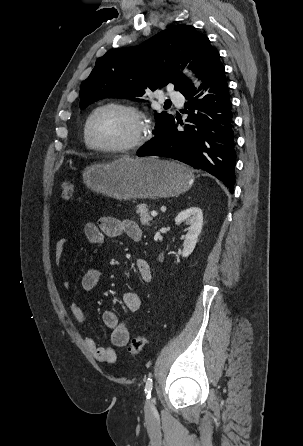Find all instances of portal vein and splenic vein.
I'll list each match as a JSON object with an SVG mask.
<instances>
[{"label": "portal vein and splenic vein", "mask_w": 303, "mask_h": 446, "mask_svg": "<svg viewBox=\"0 0 303 446\" xmlns=\"http://www.w3.org/2000/svg\"><path fill=\"white\" fill-rule=\"evenodd\" d=\"M151 215H152L153 217H156V216H157V212H156L155 210H153V211L151 212Z\"/></svg>", "instance_id": "portal-vein-and-splenic-vein-1"}]
</instances>
